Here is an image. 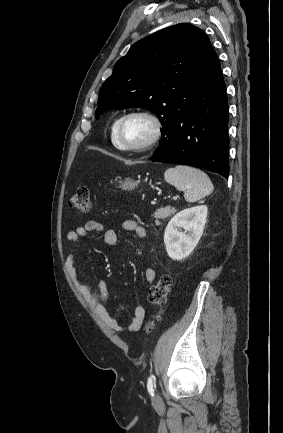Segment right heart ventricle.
Masks as SVG:
<instances>
[{
    "mask_svg": "<svg viewBox=\"0 0 283 433\" xmlns=\"http://www.w3.org/2000/svg\"><path fill=\"white\" fill-rule=\"evenodd\" d=\"M120 118H121V116H117V117L114 119V121L112 122V125H111V131H110V132H111V140H112V143H113V145H114L116 148H119V147L117 146V143H116V141H115V136H114V134H115V128H116V126H117V124H118Z\"/></svg>",
    "mask_w": 283,
    "mask_h": 433,
    "instance_id": "right-heart-ventricle-1",
    "label": "right heart ventricle"
}]
</instances>
